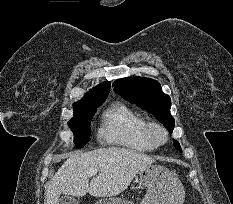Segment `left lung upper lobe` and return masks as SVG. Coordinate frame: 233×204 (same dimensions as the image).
Listing matches in <instances>:
<instances>
[{
    "mask_svg": "<svg viewBox=\"0 0 233 204\" xmlns=\"http://www.w3.org/2000/svg\"><path fill=\"white\" fill-rule=\"evenodd\" d=\"M114 91L122 97L146 109L167 127L170 133L174 129V118L170 114L171 99L162 92L160 84L149 78H123L113 83ZM176 149L182 152L177 141L173 142Z\"/></svg>",
    "mask_w": 233,
    "mask_h": 204,
    "instance_id": "left-lung-upper-lobe-1",
    "label": "left lung upper lobe"
}]
</instances>
